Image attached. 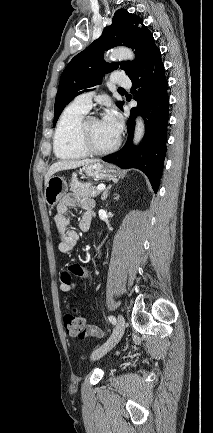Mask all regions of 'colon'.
Listing matches in <instances>:
<instances>
[{
    "mask_svg": "<svg viewBox=\"0 0 213 433\" xmlns=\"http://www.w3.org/2000/svg\"><path fill=\"white\" fill-rule=\"evenodd\" d=\"M62 281L65 283H71L72 273L68 270L63 272ZM63 324L66 333L71 337L85 338L89 336L84 319L78 315L75 309L63 316Z\"/></svg>",
    "mask_w": 213,
    "mask_h": 433,
    "instance_id": "1",
    "label": "colon"
}]
</instances>
